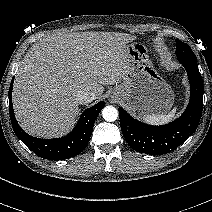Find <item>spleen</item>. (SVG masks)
I'll return each instance as SVG.
<instances>
[{"instance_id":"3e777b00","label":"spleen","mask_w":212,"mask_h":212,"mask_svg":"<svg viewBox=\"0 0 212 212\" xmlns=\"http://www.w3.org/2000/svg\"><path fill=\"white\" fill-rule=\"evenodd\" d=\"M177 106L174 107L168 114H149L143 117L147 123L158 125L171 122L176 116Z\"/></svg>"}]
</instances>
